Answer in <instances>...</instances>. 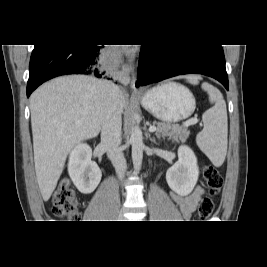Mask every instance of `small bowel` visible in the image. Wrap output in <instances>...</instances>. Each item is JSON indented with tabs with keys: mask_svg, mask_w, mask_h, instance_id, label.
<instances>
[{
	"mask_svg": "<svg viewBox=\"0 0 267 267\" xmlns=\"http://www.w3.org/2000/svg\"><path fill=\"white\" fill-rule=\"evenodd\" d=\"M202 193L203 189L198 186L188 195L172 193L171 197L176 203V205L179 207L183 217L185 219H189L192 213L195 211L202 196Z\"/></svg>",
	"mask_w": 267,
	"mask_h": 267,
	"instance_id": "small-bowel-1",
	"label": "small bowel"
}]
</instances>
